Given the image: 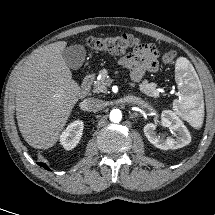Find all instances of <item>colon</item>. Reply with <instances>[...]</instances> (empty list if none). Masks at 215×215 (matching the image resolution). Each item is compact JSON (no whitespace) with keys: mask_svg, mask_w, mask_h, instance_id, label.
Listing matches in <instances>:
<instances>
[{"mask_svg":"<svg viewBox=\"0 0 215 215\" xmlns=\"http://www.w3.org/2000/svg\"><path fill=\"white\" fill-rule=\"evenodd\" d=\"M84 44L97 51H103L110 54H125L130 49H136L141 46V41L138 37L130 34H122L110 37H89L84 41ZM176 57L174 51L165 53L162 60L165 64H171Z\"/></svg>","mask_w":215,"mask_h":215,"instance_id":"1","label":"colon"}]
</instances>
